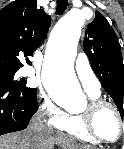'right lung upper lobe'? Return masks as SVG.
Segmentation results:
<instances>
[{"instance_id": "cb5924a9", "label": "right lung upper lobe", "mask_w": 124, "mask_h": 149, "mask_svg": "<svg viewBox=\"0 0 124 149\" xmlns=\"http://www.w3.org/2000/svg\"><path fill=\"white\" fill-rule=\"evenodd\" d=\"M51 25L36 0H15L0 10V67L19 69V56H31Z\"/></svg>"}]
</instances>
